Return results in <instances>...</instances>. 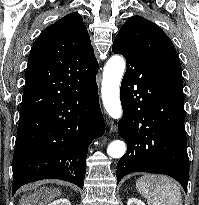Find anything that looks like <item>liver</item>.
I'll return each instance as SVG.
<instances>
[{
	"instance_id": "liver-1",
	"label": "liver",
	"mask_w": 199,
	"mask_h": 205,
	"mask_svg": "<svg viewBox=\"0 0 199 205\" xmlns=\"http://www.w3.org/2000/svg\"><path fill=\"white\" fill-rule=\"evenodd\" d=\"M59 194V191L50 192L47 189L36 191L34 195L25 199V204H37L36 200H38L39 198H41V202L39 204H46L48 201L52 200Z\"/></svg>"
}]
</instances>
